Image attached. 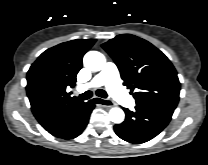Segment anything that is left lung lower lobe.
<instances>
[{"mask_svg":"<svg viewBox=\"0 0 208 165\" xmlns=\"http://www.w3.org/2000/svg\"><path fill=\"white\" fill-rule=\"evenodd\" d=\"M125 121L114 126L115 133L130 143H144L157 136L171 120L174 110L167 108L139 107L134 111L123 109Z\"/></svg>","mask_w":208,"mask_h":165,"instance_id":"1","label":"left lung lower lobe"}]
</instances>
